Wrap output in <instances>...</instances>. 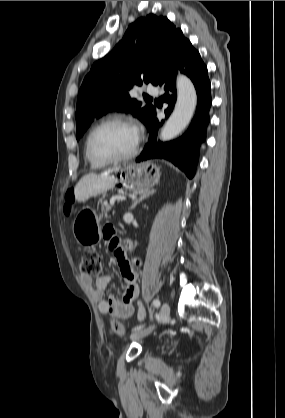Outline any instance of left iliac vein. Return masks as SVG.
Returning <instances> with one entry per match:
<instances>
[{
  "label": "left iliac vein",
  "instance_id": "4c4485c4",
  "mask_svg": "<svg viewBox=\"0 0 285 418\" xmlns=\"http://www.w3.org/2000/svg\"><path fill=\"white\" fill-rule=\"evenodd\" d=\"M169 318H170V307L167 303H163L161 308H160L159 320H158L157 324L165 323L169 320ZM157 324H154V325L149 326L145 329L134 332L131 335V339H139V338H143V337L149 335L156 328Z\"/></svg>",
  "mask_w": 285,
  "mask_h": 418
}]
</instances>
